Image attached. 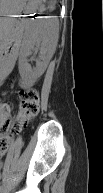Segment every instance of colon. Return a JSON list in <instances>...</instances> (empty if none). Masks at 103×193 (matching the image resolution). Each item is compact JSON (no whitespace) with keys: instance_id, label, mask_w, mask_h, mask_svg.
<instances>
[{"instance_id":"1","label":"colon","mask_w":103,"mask_h":193,"mask_svg":"<svg viewBox=\"0 0 103 193\" xmlns=\"http://www.w3.org/2000/svg\"><path fill=\"white\" fill-rule=\"evenodd\" d=\"M17 97L20 102V111L16 120L10 114L9 107L6 104L2 105L0 122H1V136H0V153L5 154L9 148L12 140L11 129L13 127L20 129L27 121L35 117L40 110V97L36 89H23L18 92Z\"/></svg>"}]
</instances>
